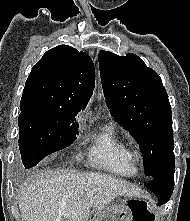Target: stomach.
<instances>
[{"label": "stomach", "instance_id": "1", "mask_svg": "<svg viewBox=\"0 0 190 221\" xmlns=\"http://www.w3.org/2000/svg\"><path fill=\"white\" fill-rule=\"evenodd\" d=\"M155 208L149 200H118V204H108L95 212L89 221H156Z\"/></svg>", "mask_w": 190, "mask_h": 221}]
</instances>
